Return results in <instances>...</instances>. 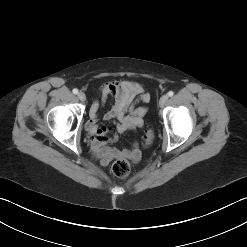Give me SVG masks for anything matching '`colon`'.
<instances>
[{
	"instance_id": "1",
	"label": "colon",
	"mask_w": 247,
	"mask_h": 247,
	"mask_svg": "<svg viewBox=\"0 0 247 247\" xmlns=\"http://www.w3.org/2000/svg\"><path fill=\"white\" fill-rule=\"evenodd\" d=\"M154 140V132L152 130H147L144 136V141L146 146L152 144ZM112 172L115 176L123 178L130 172V163L126 159H119L115 161L112 165Z\"/></svg>"
}]
</instances>
